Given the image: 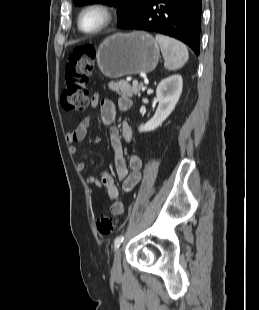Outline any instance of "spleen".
<instances>
[{"label":"spleen","mask_w":259,"mask_h":310,"mask_svg":"<svg viewBox=\"0 0 259 310\" xmlns=\"http://www.w3.org/2000/svg\"><path fill=\"white\" fill-rule=\"evenodd\" d=\"M155 38L164 57L165 69H180L188 61V50L183 43L161 34H157Z\"/></svg>","instance_id":"obj_1"}]
</instances>
